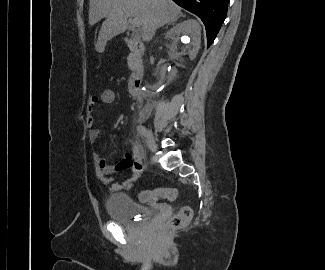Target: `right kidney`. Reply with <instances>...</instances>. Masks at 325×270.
<instances>
[{
	"instance_id": "ca27d5eb",
	"label": "right kidney",
	"mask_w": 325,
	"mask_h": 270,
	"mask_svg": "<svg viewBox=\"0 0 325 270\" xmlns=\"http://www.w3.org/2000/svg\"><path fill=\"white\" fill-rule=\"evenodd\" d=\"M166 36L170 39L166 50L168 62L162 64L159 71L168 80H173L186 68L188 60L195 59L200 49L201 28L195 20H186L170 29Z\"/></svg>"
}]
</instances>
